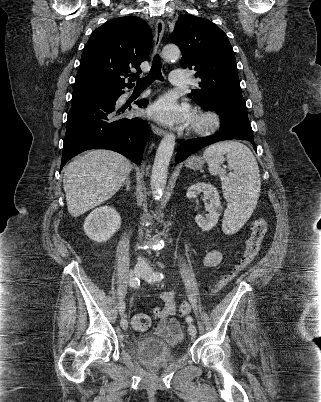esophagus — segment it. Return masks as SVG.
Instances as JSON below:
<instances>
[{
  "mask_svg": "<svg viewBox=\"0 0 321 402\" xmlns=\"http://www.w3.org/2000/svg\"><path fill=\"white\" fill-rule=\"evenodd\" d=\"M164 28L165 24L164 21L159 19L156 22L155 25V37H154V46H153V53L156 54L158 51V48L160 46L163 34H164ZM153 132L158 135V136H163L166 134V131L164 129H161L155 125H152Z\"/></svg>",
  "mask_w": 321,
  "mask_h": 402,
  "instance_id": "1",
  "label": "esophagus"
}]
</instances>
